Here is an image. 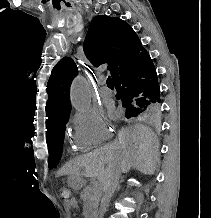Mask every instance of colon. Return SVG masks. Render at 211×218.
Masks as SVG:
<instances>
[{
  "label": "colon",
  "mask_w": 211,
  "mask_h": 218,
  "mask_svg": "<svg viewBox=\"0 0 211 218\" xmlns=\"http://www.w3.org/2000/svg\"><path fill=\"white\" fill-rule=\"evenodd\" d=\"M59 193H60V196L64 200H69L71 198V191L67 187H61L60 190H59Z\"/></svg>",
  "instance_id": "colon-1"
}]
</instances>
